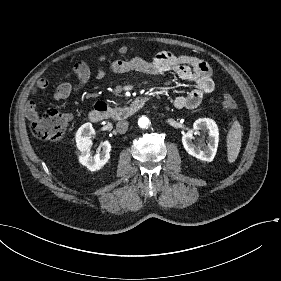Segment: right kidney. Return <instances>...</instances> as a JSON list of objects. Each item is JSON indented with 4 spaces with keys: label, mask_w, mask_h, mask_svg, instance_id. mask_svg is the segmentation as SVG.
I'll return each mask as SVG.
<instances>
[{
    "label": "right kidney",
    "mask_w": 281,
    "mask_h": 281,
    "mask_svg": "<svg viewBox=\"0 0 281 281\" xmlns=\"http://www.w3.org/2000/svg\"><path fill=\"white\" fill-rule=\"evenodd\" d=\"M95 130L90 122L84 123L76 132L75 140L80 151L79 162L90 171L99 170L110 159L111 144L109 141L102 143L103 150L95 155L90 152L92 146L91 136Z\"/></svg>",
    "instance_id": "obj_1"
}]
</instances>
